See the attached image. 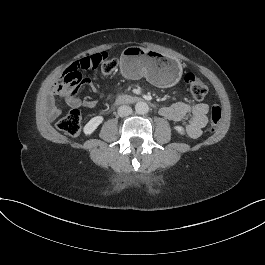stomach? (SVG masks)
<instances>
[{
    "label": "stomach",
    "instance_id": "stomach-1",
    "mask_svg": "<svg viewBox=\"0 0 265 265\" xmlns=\"http://www.w3.org/2000/svg\"><path fill=\"white\" fill-rule=\"evenodd\" d=\"M122 74L130 79L146 77L160 87L175 85L182 73L181 63L166 53L130 46L120 57Z\"/></svg>",
    "mask_w": 265,
    "mask_h": 265
}]
</instances>
